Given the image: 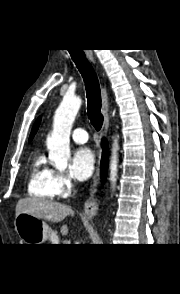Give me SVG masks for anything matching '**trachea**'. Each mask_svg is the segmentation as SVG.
<instances>
[{
	"label": "trachea",
	"instance_id": "1",
	"mask_svg": "<svg viewBox=\"0 0 180 294\" xmlns=\"http://www.w3.org/2000/svg\"><path fill=\"white\" fill-rule=\"evenodd\" d=\"M68 51L85 82L88 117L94 128L99 131L103 124V115L101 114V93L96 73L83 50L74 49Z\"/></svg>",
	"mask_w": 180,
	"mask_h": 294
}]
</instances>
